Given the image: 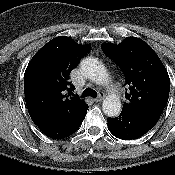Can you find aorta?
I'll return each mask as SVG.
<instances>
[{"label":"aorta","mask_w":175,"mask_h":175,"mask_svg":"<svg viewBox=\"0 0 175 175\" xmlns=\"http://www.w3.org/2000/svg\"><path fill=\"white\" fill-rule=\"evenodd\" d=\"M81 69L85 76L93 82L104 83L107 80V72L102 63L95 58H86L81 63ZM103 112L109 117H116L121 112V101L116 95H109L103 101Z\"/></svg>","instance_id":"762f6f07"}]
</instances>
